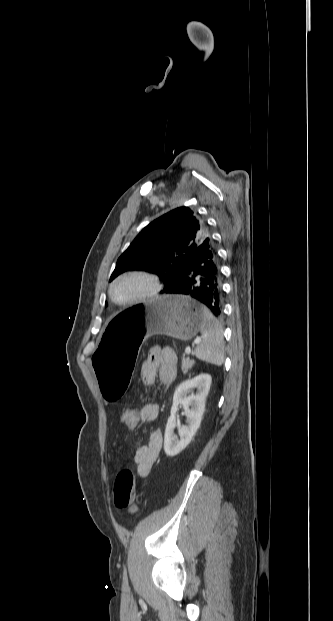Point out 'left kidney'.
Wrapping results in <instances>:
<instances>
[{
	"instance_id": "1",
	"label": "left kidney",
	"mask_w": 333,
	"mask_h": 621,
	"mask_svg": "<svg viewBox=\"0 0 333 621\" xmlns=\"http://www.w3.org/2000/svg\"><path fill=\"white\" fill-rule=\"evenodd\" d=\"M211 381L212 378L209 374H200L184 381L175 390L164 437V451L168 456H175L180 453L195 435L205 410V400L210 390ZM194 388L197 390L196 394L187 396ZM180 405L184 408L187 425L179 428L180 440H178L174 435V429L176 427V413Z\"/></svg>"
}]
</instances>
